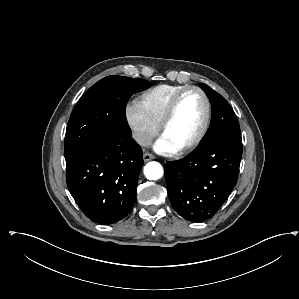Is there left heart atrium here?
Returning a JSON list of instances; mask_svg holds the SVG:
<instances>
[{
    "label": "left heart atrium",
    "instance_id": "39dd6f15",
    "mask_svg": "<svg viewBox=\"0 0 299 299\" xmlns=\"http://www.w3.org/2000/svg\"><path fill=\"white\" fill-rule=\"evenodd\" d=\"M154 148L156 151L163 153V154H171L178 150V148L176 146L171 144L163 136L156 141Z\"/></svg>",
    "mask_w": 299,
    "mask_h": 299
}]
</instances>
